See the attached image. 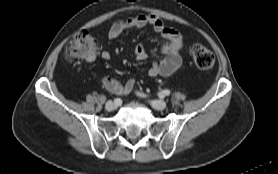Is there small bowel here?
I'll use <instances>...</instances> for the list:
<instances>
[{"instance_id":"1","label":"small bowel","mask_w":278,"mask_h":174,"mask_svg":"<svg viewBox=\"0 0 278 174\" xmlns=\"http://www.w3.org/2000/svg\"><path fill=\"white\" fill-rule=\"evenodd\" d=\"M146 26H151L164 40V45L162 47L164 58L161 62L154 63L149 67L147 71L148 75L150 77H166L173 74L182 64L181 51L184 47V41L180 32L174 28L166 26L159 17L147 14L118 20L110 27L108 37L109 39H115L127 29L143 28ZM147 56L143 44H138L134 50L135 60L143 61ZM100 57L103 60L108 61L110 60L111 55L108 51H102ZM95 58L96 56L93 55L88 59L89 61H93ZM101 84L103 88L109 92L123 96L133 91L136 85V80L131 78L123 82L116 78L104 77L101 80Z\"/></svg>"}]
</instances>
